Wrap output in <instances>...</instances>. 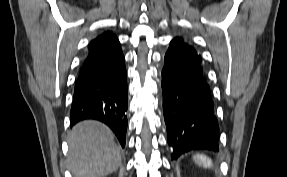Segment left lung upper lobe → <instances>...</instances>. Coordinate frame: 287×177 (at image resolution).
Masks as SVG:
<instances>
[{
  "instance_id": "5c2ea615",
  "label": "left lung upper lobe",
  "mask_w": 287,
  "mask_h": 177,
  "mask_svg": "<svg viewBox=\"0 0 287 177\" xmlns=\"http://www.w3.org/2000/svg\"><path fill=\"white\" fill-rule=\"evenodd\" d=\"M175 39L181 46H183L185 49H187L188 51L193 53L196 57L201 59V56L197 53V51L195 50V48L193 46H190L187 43H185L182 38L177 37Z\"/></svg>"
}]
</instances>
